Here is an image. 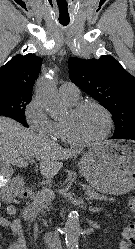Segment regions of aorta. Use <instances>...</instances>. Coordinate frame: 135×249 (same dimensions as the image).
Returning a JSON list of instances; mask_svg holds the SVG:
<instances>
[{"label": "aorta", "instance_id": "aorta-1", "mask_svg": "<svg viewBox=\"0 0 135 249\" xmlns=\"http://www.w3.org/2000/svg\"><path fill=\"white\" fill-rule=\"evenodd\" d=\"M36 98L49 110L61 108V97L57 91L55 78L50 75L41 77L36 86ZM80 236L79 216L71 211L65 223V243L67 249H78Z\"/></svg>", "mask_w": 135, "mask_h": 249}]
</instances>
